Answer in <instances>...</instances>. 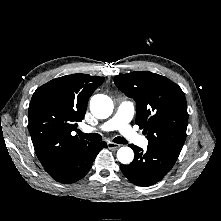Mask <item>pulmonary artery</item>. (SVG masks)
Here are the masks:
<instances>
[{"label":"pulmonary artery","instance_id":"obj_1","mask_svg":"<svg viewBox=\"0 0 221 221\" xmlns=\"http://www.w3.org/2000/svg\"><path fill=\"white\" fill-rule=\"evenodd\" d=\"M135 113V104L130 100H123L117 107L115 114L98 128H86V132L99 130L102 132H108L118 130L127 140L139 145L146 146L147 140L139 135L131 126L130 121L132 120Z\"/></svg>","mask_w":221,"mask_h":221}]
</instances>
